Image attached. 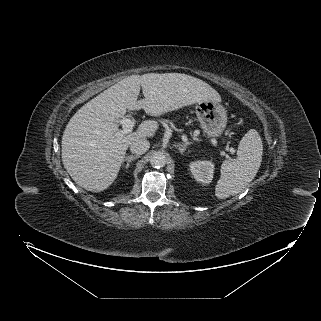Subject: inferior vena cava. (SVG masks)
I'll return each mask as SVG.
<instances>
[{
	"label": "inferior vena cava",
	"instance_id": "inferior-vena-cava-1",
	"mask_svg": "<svg viewBox=\"0 0 321 321\" xmlns=\"http://www.w3.org/2000/svg\"><path fill=\"white\" fill-rule=\"evenodd\" d=\"M150 148V143L146 139H137L130 145V150L136 155H142Z\"/></svg>",
	"mask_w": 321,
	"mask_h": 321
}]
</instances>
